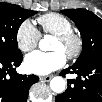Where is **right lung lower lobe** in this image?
<instances>
[{
  "instance_id": "obj_1",
  "label": "right lung lower lobe",
  "mask_w": 102,
  "mask_h": 102,
  "mask_svg": "<svg viewBox=\"0 0 102 102\" xmlns=\"http://www.w3.org/2000/svg\"><path fill=\"white\" fill-rule=\"evenodd\" d=\"M23 59L22 53L0 56V97L2 102H26L31 85L39 78L35 75H20L15 71Z\"/></svg>"
}]
</instances>
